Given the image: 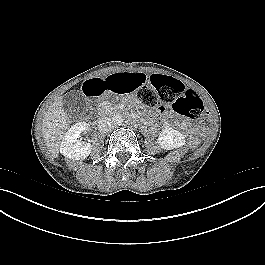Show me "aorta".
Listing matches in <instances>:
<instances>
[{"label": "aorta", "instance_id": "aorta-1", "mask_svg": "<svg viewBox=\"0 0 265 265\" xmlns=\"http://www.w3.org/2000/svg\"><path fill=\"white\" fill-rule=\"evenodd\" d=\"M112 122L114 125H122L124 123V117L122 114H114L112 116Z\"/></svg>", "mask_w": 265, "mask_h": 265}]
</instances>
